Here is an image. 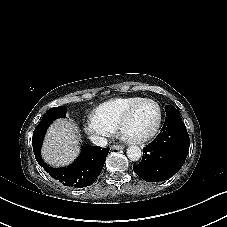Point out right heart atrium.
Segmentation results:
<instances>
[{"instance_id":"1","label":"right heart atrium","mask_w":227,"mask_h":227,"mask_svg":"<svg viewBox=\"0 0 227 227\" xmlns=\"http://www.w3.org/2000/svg\"><path fill=\"white\" fill-rule=\"evenodd\" d=\"M85 133L90 141L97 143L108 138L112 131L91 123L85 128Z\"/></svg>"}]
</instances>
